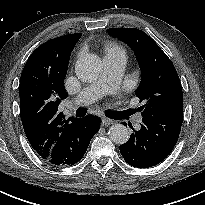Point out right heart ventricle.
I'll return each instance as SVG.
<instances>
[{
  "label": "right heart ventricle",
  "instance_id": "obj_1",
  "mask_svg": "<svg viewBox=\"0 0 205 205\" xmlns=\"http://www.w3.org/2000/svg\"><path fill=\"white\" fill-rule=\"evenodd\" d=\"M105 55H124L126 57L125 50L118 44L112 41H107L104 44Z\"/></svg>",
  "mask_w": 205,
  "mask_h": 205
}]
</instances>
